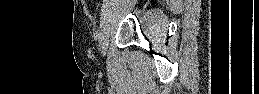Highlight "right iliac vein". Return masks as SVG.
<instances>
[{
    "instance_id": "1",
    "label": "right iliac vein",
    "mask_w": 259,
    "mask_h": 94,
    "mask_svg": "<svg viewBox=\"0 0 259 94\" xmlns=\"http://www.w3.org/2000/svg\"><path fill=\"white\" fill-rule=\"evenodd\" d=\"M110 21H111V14H110V11H108L106 20L102 26L100 37H99L100 49L103 55H105L106 53V48L108 44L109 33H110Z\"/></svg>"
}]
</instances>
